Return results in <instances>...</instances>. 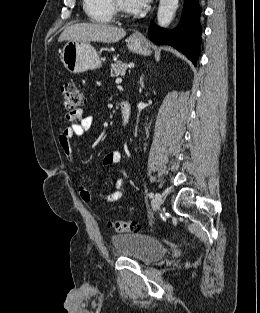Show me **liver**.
<instances>
[{"label": "liver", "instance_id": "1", "mask_svg": "<svg viewBox=\"0 0 260 313\" xmlns=\"http://www.w3.org/2000/svg\"><path fill=\"white\" fill-rule=\"evenodd\" d=\"M126 32L122 28L105 23H77L67 27L60 35L58 41H95L114 43L122 39Z\"/></svg>", "mask_w": 260, "mask_h": 313}]
</instances>
